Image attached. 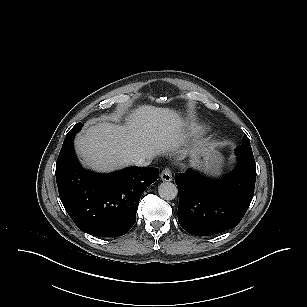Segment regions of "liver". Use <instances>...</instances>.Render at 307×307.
<instances>
[{
	"mask_svg": "<svg viewBox=\"0 0 307 307\" xmlns=\"http://www.w3.org/2000/svg\"><path fill=\"white\" fill-rule=\"evenodd\" d=\"M184 127L176 111L141 105L127 114L123 125L99 122L88 127L77 136L75 145L84 165L110 172L139 158L178 150L187 138Z\"/></svg>",
	"mask_w": 307,
	"mask_h": 307,
	"instance_id": "liver-1",
	"label": "liver"
}]
</instances>
